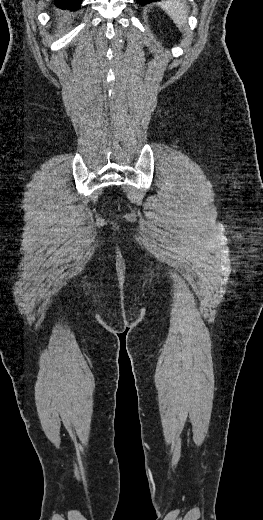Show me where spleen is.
<instances>
[{"label":"spleen","instance_id":"1","mask_svg":"<svg viewBox=\"0 0 263 520\" xmlns=\"http://www.w3.org/2000/svg\"><path fill=\"white\" fill-rule=\"evenodd\" d=\"M159 4L179 29L186 28L188 9L184 0H165Z\"/></svg>","mask_w":263,"mask_h":520}]
</instances>
